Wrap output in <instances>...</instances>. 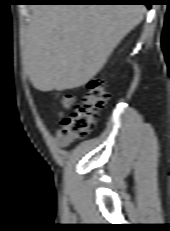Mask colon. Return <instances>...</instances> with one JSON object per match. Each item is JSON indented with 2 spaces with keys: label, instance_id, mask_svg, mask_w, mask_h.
I'll use <instances>...</instances> for the list:
<instances>
[{
  "label": "colon",
  "instance_id": "obj_1",
  "mask_svg": "<svg viewBox=\"0 0 170 231\" xmlns=\"http://www.w3.org/2000/svg\"><path fill=\"white\" fill-rule=\"evenodd\" d=\"M109 94L101 79L94 78L87 85V91L77 103L73 113L62 118L61 132L66 140L73 141L86 137L99 119L100 111L104 108ZM62 104L69 107L73 104V97L66 94Z\"/></svg>",
  "mask_w": 170,
  "mask_h": 231
}]
</instances>
